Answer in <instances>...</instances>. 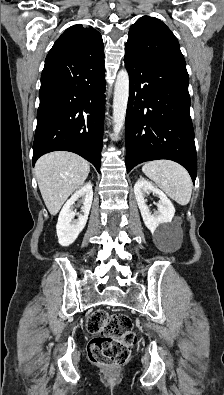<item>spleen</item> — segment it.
Listing matches in <instances>:
<instances>
[{
  "mask_svg": "<svg viewBox=\"0 0 224 395\" xmlns=\"http://www.w3.org/2000/svg\"><path fill=\"white\" fill-rule=\"evenodd\" d=\"M143 173L180 205H187L192 193L188 171L174 161L157 160L143 165Z\"/></svg>",
  "mask_w": 224,
  "mask_h": 395,
  "instance_id": "obj_1",
  "label": "spleen"
}]
</instances>
